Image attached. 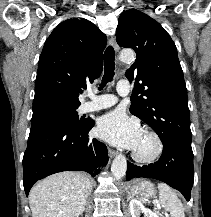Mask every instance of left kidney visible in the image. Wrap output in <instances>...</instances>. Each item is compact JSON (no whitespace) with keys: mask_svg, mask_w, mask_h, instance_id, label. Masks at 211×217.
<instances>
[{"mask_svg":"<svg viewBox=\"0 0 211 217\" xmlns=\"http://www.w3.org/2000/svg\"><path fill=\"white\" fill-rule=\"evenodd\" d=\"M129 210L131 217H140V213H144V217H159L156 213L144 207V205L137 199H132L129 202Z\"/></svg>","mask_w":211,"mask_h":217,"instance_id":"1","label":"left kidney"}]
</instances>
